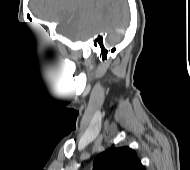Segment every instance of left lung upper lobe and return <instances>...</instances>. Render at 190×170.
<instances>
[{
	"label": "left lung upper lobe",
	"mask_w": 190,
	"mask_h": 170,
	"mask_svg": "<svg viewBox=\"0 0 190 170\" xmlns=\"http://www.w3.org/2000/svg\"><path fill=\"white\" fill-rule=\"evenodd\" d=\"M93 170H145L136 152L127 147H111L94 160Z\"/></svg>",
	"instance_id": "left-lung-upper-lobe-1"
}]
</instances>
